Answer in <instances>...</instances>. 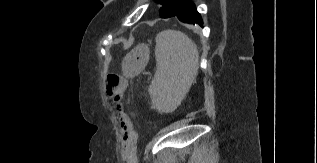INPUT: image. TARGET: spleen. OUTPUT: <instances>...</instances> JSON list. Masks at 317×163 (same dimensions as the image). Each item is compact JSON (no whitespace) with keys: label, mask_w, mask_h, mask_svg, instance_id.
Listing matches in <instances>:
<instances>
[{"label":"spleen","mask_w":317,"mask_h":163,"mask_svg":"<svg viewBox=\"0 0 317 163\" xmlns=\"http://www.w3.org/2000/svg\"><path fill=\"white\" fill-rule=\"evenodd\" d=\"M156 71L149 86L155 107L171 113L181 104L199 69L196 44L186 34L164 30L156 36Z\"/></svg>","instance_id":"3e777b00"}]
</instances>
